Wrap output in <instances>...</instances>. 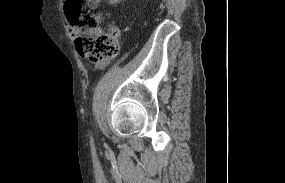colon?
<instances>
[{
  "instance_id": "1",
  "label": "colon",
  "mask_w": 285,
  "mask_h": 183,
  "mask_svg": "<svg viewBox=\"0 0 285 183\" xmlns=\"http://www.w3.org/2000/svg\"><path fill=\"white\" fill-rule=\"evenodd\" d=\"M84 3L85 0H66L64 6L77 51L95 62L116 56L119 52V29H101L102 16L87 9Z\"/></svg>"
}]
</instances>
